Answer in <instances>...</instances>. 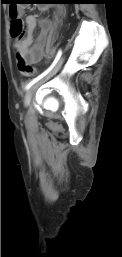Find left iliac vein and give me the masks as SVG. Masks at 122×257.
Returning a JSON list of instances; mask_svg holds the SVG:
<instances>
[{
	"label": "left iliac vein",
	"instance_id": "left-iliac-vein-1",
	"mask_svg": "<svg viewBox=\"0 0 122 257\" xmlns=\"http://www.w3.org/2000/svg\"><path fill=\"white\" fill-rule=\"evenodd\" d=\"M64 62V57H62L57 64L52 68L50 72H48L43 78H41L39 81H37L32 87H30L27 92L24 95V105L27 107L30 102L32 95L34 91L45 81L49 80L51 77H53L61 68L62 64Z\"/></svg>",
	"mask_w": 122,
	"mask_h": 257
}]
</instances>
